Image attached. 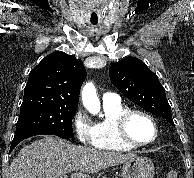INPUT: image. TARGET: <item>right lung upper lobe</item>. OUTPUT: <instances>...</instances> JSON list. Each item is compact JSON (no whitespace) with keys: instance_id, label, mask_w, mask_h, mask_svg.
Listing matches in <instances>:
<instances>
[{"instance_id":"right-lung-upper-lobe-1","label":"right lung upper lobe","mask_w":194,"mask_h":178,"mask_svg":"<svg viewBox=\"0 0 194 178\" xmlns=\"http://www.w3.org/2000/svg\"><path fill=\"white\" fill-rule=\"evenodd\" d=\"M86 70L80 59L56 51L46 56L29 74L23 100L48 98L78 106Z\"/></svg>"}]
</instances>
